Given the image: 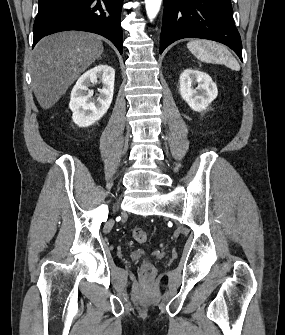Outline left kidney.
<instances>
[{
  "mask_svg": "<svg viewBox=\"0 0 285 335\" xmlns=\"http://www.w3.org/2000/svg\"><path fill=\"white\" fill-rule=\"evenodd\" d=\"M198 84L197 88H194ZM181 98L194 112H202L218 96L216 84L212 78L199 70H184L180 76Z\"/></svg>",
  "mask_w": 285,
  "mask_h": 335,
  "instance_id": "left-kidney-1",
  "label": "left kidney"
}]
</instances>
